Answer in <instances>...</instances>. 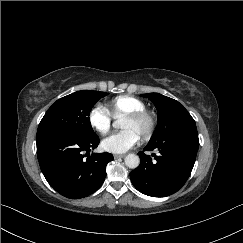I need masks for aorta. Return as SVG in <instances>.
<instances>
[{
  "instance_id": "aorta-1",
  "label": "aorta",
  "mask_w": 243,
  "mask_h": 243,
  "mask_svg": "<svg viewBox=\"0 0 243 243\" xmlns=\"http://www.w3.org/2000/svg\"><path fill=\"white\" fill-rule=\"evenodd\" d=\"M120 125V122L119 121H115L113 123V127L114 128H117L119 127ZM140 164V158L138 155L136 154H128L126 157H125V165L128 167V168H131V169H135L139 166Z\"/></svg>"
}]
</instances>
